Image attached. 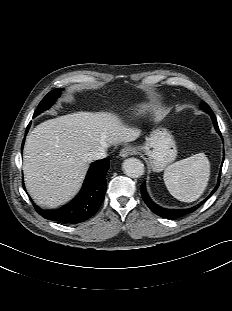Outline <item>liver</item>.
Segmentation results:
<instances>
[{"mask_svg":"<svg viewBox=\"0 0 232 311\" xmlns=\"http://www.w3.org/2000/svg\"><path fill=\"white\" fill-rule=\"evenodd\" d=\"M137 137V129L106 112L81 111L44 121L24 146L26 188L39 206L57 208L79 191L92 151Z\"/></svg>","mask_w":232,"mask_h":311,"instance_id":"liver-1","label":"liver"}]
</instances>
